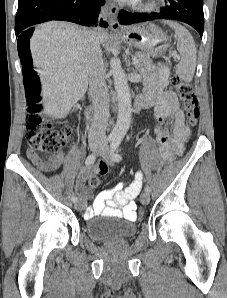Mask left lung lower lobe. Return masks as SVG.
Segmentation results:
<instances>
[{
	"label": "left lung lower lobe",
	"instance_id": "1",
	"mask_svg": "<svg viewBox=\"0 0 227 298\" xmlns=\"http://www.w3.org/2000/svg\"><path fill=\"white\" fill-rule=\"evenodd\" d=\"M167 6L158 13L135 14L125 10L119 12L120 24L129 25L156 19H172L185 22L194 27L201 38L204 29L203 0H165Z\"/></svg>",
	"mask_w": 227,
	"mask_h": 298
}]
</instances>
